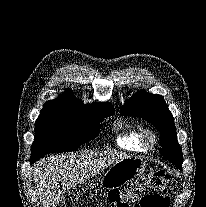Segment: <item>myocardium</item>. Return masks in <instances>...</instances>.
<instances>
[{
	"instance_id": "myocardium-1",
	"label": "myocardium",
	"mask_w": 206,
	"mask_h": 207,
	"mask_svg": "<svg viewBox=\"0 0 206 207\" xmlns=\"http://www.w3.org/2000/svg\"><path fill=\"white\" fill-rule=\"evenodd\" d=\"M141 141L145 149H153L158 144L159 137L152 129H144L141 133Z\"/></svg>"
}]
</instances>
